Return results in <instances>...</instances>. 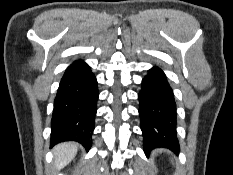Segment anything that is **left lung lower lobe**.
<instances>
[{"instance_id": "left-lung-lower-lobe-1", "label": "left lung lower lobe", "mask_w": 233, "mask_h": 175, "mask_svg": "<svg viewBox=\"0 0 233 175\" xmlns=\"http://www.w3.org/2000/svg\"><path fill=\"white\" fill-rule=\"evenodd\" d=\"M138 99L145 153L156 147L179 152L174 94L159 67L151 68L143 78Z\"/></svg>"}]
</instances>
